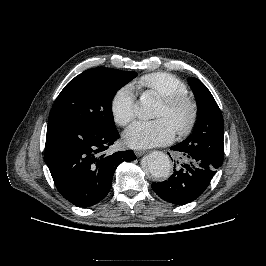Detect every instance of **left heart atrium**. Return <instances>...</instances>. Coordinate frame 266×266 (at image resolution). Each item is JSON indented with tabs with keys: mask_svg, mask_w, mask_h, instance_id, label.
I'll return each instance as SVG.
<instances>
[{
	"mask_svg": "<svg viewBox=\"0 0 266 266\" xmlns=\"http://www.w3.org/2000/svg\"><path fill=\"white\" fill-rule=\"evenodd\" d=\"M175 129L166 118L153 121H136L124 133L126 144L133 148H149L169 143Z\"/></svg>",
	"mask_w": 266,
	"mask_h": 266,
	"instance_id": "obj_1",
	"label": "left heart atrium"
}]
</instances>
